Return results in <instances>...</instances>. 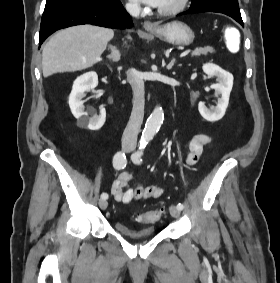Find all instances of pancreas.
Returning <instances> with one entry per match:
<instances>
[{
    "label": "pancreas",
    "instance_id": "1",
    "mask_svg": "<svg viewBox=\"0 0 280 283\" xmlns=\"http://www.w3.org/2000/svg\"><path fill=\"white\" fill-rule=\"evenodd\" d=\"M214 49L210 46H206L203 48H197L195 51L192 52V57H199L201 55L207 56L208 53H213Z\"/></svg>",
    "mask_w": 280,
    "mask_h": 283
}]
</instances>
